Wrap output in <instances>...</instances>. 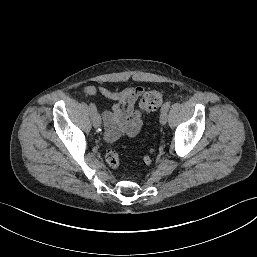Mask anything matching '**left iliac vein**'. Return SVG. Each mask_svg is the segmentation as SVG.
Wrapping results in <instances>:
<instances>
[{
	"label": "left iliac vein",
	"instance_id": "4c4485c4",
	"mask_svg": "<svg viewBox=\"0 0 257 257\" xmlns=\"http://www.w3.org/2000/svg\"><path fill=\"white\" fill-rule=\"evenodd\" d=\"M160 123L165 125L167 123V112H161L160 114Z\"/></svg>",
	"mask_w": 257,
	"mask_h": 257
}]
</instances>
